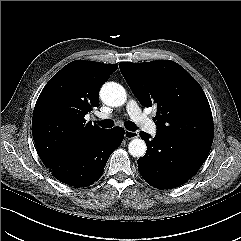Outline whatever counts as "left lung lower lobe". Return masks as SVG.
Here are the masks:
<instances>
[{
	"label": "left lung lower lobe",
	"instance_id": "0a47b994",
	"mask_svg": "<svg viewBox=\"0 0 241 241\" xmlns=\"http://www.w3.org/2000/svg\"><path fill=\"white\" fill-rule=\"evenodd\" d=\"M146 142V154L139 158L138 170L142 177L158 189L176 188L187 182L200 169L210 148L160 134L140 133Z\"/></svg>",
	"mask_w": 241,
	"mask_h": 241
}]
</instances>
